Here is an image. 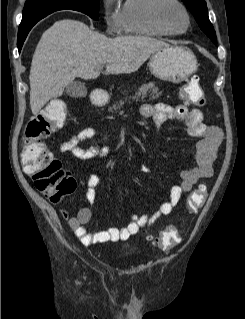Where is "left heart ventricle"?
<instances>
[{
	"instance_id": "obj_1",
	"label": "left heart ventricle",
	"mask_w": 245,
	"mask_h": 319,
	"mask_svg": "<svg viewBox=\"0 0 245 319\" xmlns=\"http://www.w3.org/2000/svg\"><path fill=\"white\" fill-rule=\"evenodd\" d=\"M166 18L169 22V24L177 30H181L184 28L185 26V18L184 15L182 14V12L174 7V6H169L166 9L165 12Z\"/></svg>"
}]
</instances>
